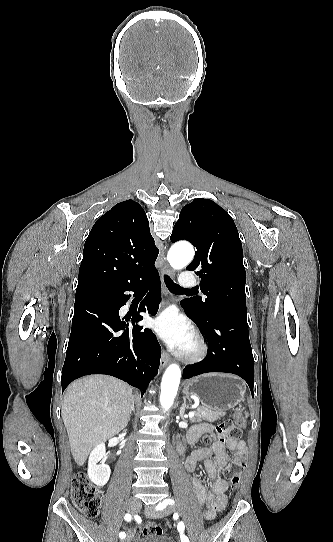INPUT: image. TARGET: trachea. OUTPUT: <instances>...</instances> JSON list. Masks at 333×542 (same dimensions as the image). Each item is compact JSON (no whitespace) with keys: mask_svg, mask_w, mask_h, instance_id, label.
Wrapping results in <instances>:
<instances>
[{"mask_svg":"<svg viewBox=\"0 0 333 542\" xmlns=\"http://www.w3.org/2000/svg\"><path fill=\"white\" fill-rule=\"evenodd\" d=\"M164 281H165V284H166V286L168 287V289L170 291H176V290H182L183 289V287H180V285L175 284V282H173V280H171L168 275H164Z\"/></svg>","mask_w":333,"mask_h":542,"instance_id":"obj_1","label":"trachea"}]
</instances>
